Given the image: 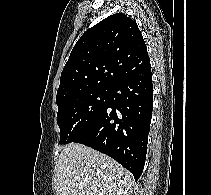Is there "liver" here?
Wrapping results in <instances>:
<instances>
[{
    "instance_id": "obj_1",
    "label": "liver",
    "mask_w": 211,
    "mask_h": 195,
    "mask_svg": "<svg viewBox=\"0 0 211 195\" xmlns=\"http://www.w3.org/2000/svg\"><path fill=\"white\" fill-rule=\"evenodd\" d=\"M133 176L109 156L83 144L63 147L56 195H131Z\"/></svg>"
}]
</instances>
